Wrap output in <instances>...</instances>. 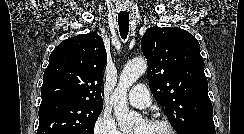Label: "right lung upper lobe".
<instances>
[{"label":"right lung upper lobe","mask_w":244,"mask_h":134,"mask_svg":"<svg viewBox=\"0 0 244 134\" xmlns=\"http://www.w3.org/2000/svg\"><path fill=\"white\" fill-rule=\"evenodd\" d=\"M107 54L96 33L64 40L51 53L41 89L42 102L66 99L103 105L101 86Z\"/></svg>","instance_id":"obj_1"}]
</instances>
